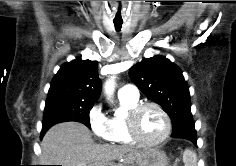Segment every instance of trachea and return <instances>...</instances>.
<instances>
[{
    "instance_id": "trachea-1",
    "label": "trachea",
    "mask_w": 236,
    "mask_h": 166,
    "mask_svg": "<svg viewBox=\"0 0 236 166\" xmlns=\"http://www.w3.org/2000/svg\"><path fill=\"white\" fill-rule=\"evenodd\" d=\"M114 26L117 31H120L122 27V23H114Z\"/></svg>"
}]
</instances>
